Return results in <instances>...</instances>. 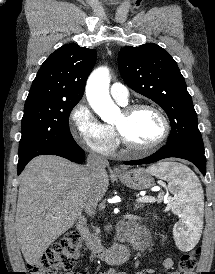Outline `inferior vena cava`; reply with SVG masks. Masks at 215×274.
<instances>
[{"label": "inferior vena cava", "instance_id": "602c4592", "mask_svg": "<svg viewBox=\"0 0 215 274\" xmlns=\"http://www.w3.org/2000/svg\"><path fill=\"white\" fill-rule=\"evenodd\" d=\"M108 165V160L101 155L91 153L87 157L86 169L88 172L90 184L92 185L91 193L85 204V211L89 216H93L96 213V208L99 202L96 184L98 183L100 176Z\"/></svg>", "mask_w": 215, "mask_h": 274}]
</instances>
